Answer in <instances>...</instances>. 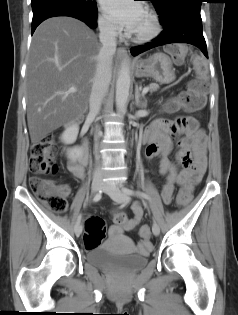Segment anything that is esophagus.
<instances>
[{"label": "esophagus", "instance_id": "obj_1", "mask_svg": "<svg viewBox=\"0 0 238 315\" xmlns=\"http://www.w3.org/2000/svg\"><path fill=\"white\" fill-rule=\"evenodd\" d=\"M117 57L120 59L127 57V51L124 47H119L117 49Z\"/></svg>", "mask_w": 238, "mask_h": 315}]
</instances>
